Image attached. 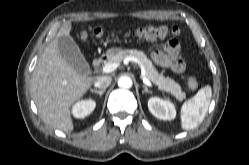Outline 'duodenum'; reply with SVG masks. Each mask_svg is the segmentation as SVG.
<instances>
[{
	"label": "duodenum",
	"instance_id": "410a0bca",
	"mask_svg": "<svg viewBox=\"0 0 249 165\" xmlns=\"http://www.w3.org/2000/svg\"><path fill=\"white\" fill-rule=\"evenodd\" d=\"M104 61H105L104 56H100V57L95 58L92 62L93 69H95V70L99 69L101 67V65L104 63Z\"/></svg>",
	"mask_w": 249,
	"mask_h": 165
}]
</instances>
